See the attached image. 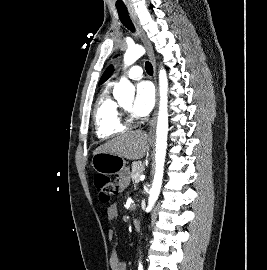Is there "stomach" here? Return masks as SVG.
<instances>
[{
	"label": "stomach",
	"mask_w": 267,
	"mask_h": 270,
	"mask_svg": "<svg viewBox=\"0 0 267 270\" xmlns=\"http://www.w3.org/2000/svg\"><path fill=\"white\" fill-rule=\"evenodd\" d=\"M91 165L101 174H119L126 165L123 157L111 153H97L92 158Z\"/></svg>",
	"instance_id": "1"
}]
</instances>
